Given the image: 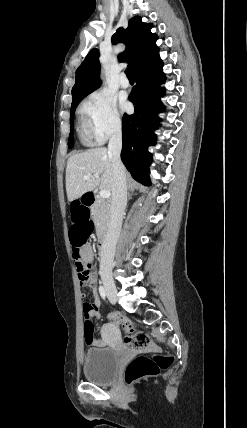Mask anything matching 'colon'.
I'll return each mask as SVG.
<instances>
[{
    "label": "colon",
    "instance_id": "5ec220e1",
    "mask_svg": "<svg viewBox=\"0 0 247 428\" xmlns=\"http://www.w3.org/2000/svg\"><path fill=\"white\" fill-rule=\"evenodd\" d=\"M69 220L67 228L72 247V255L76 261L80 281H86L89 277V265L81 256V247L84 246V239H90L91 232L94 231V219L89 217L91 211L90 204H79L78 200L72 199L68 206ZM85 313V312H84ZM113 319L120 324L127 332L125 343L134 350L145 351L153 348L149 336L144 332H133L131 321L121 314H113ZM84 338L88 345L94 341V324L91 317L85 313ZM173 363V357L169 355H154L152 358L139 355L135 357L125 370V381L131 385L144 378L156 376L161 370L169 368Z\"/></svg>",
    "mask_w": 247,
    "mask_h": 428
}]
</instances>
